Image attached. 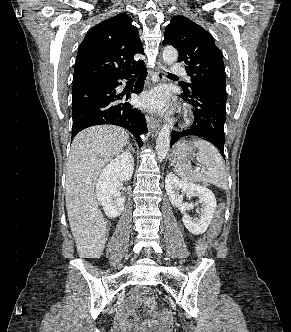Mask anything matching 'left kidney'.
<instances>
[{"label":"left kidney","instance_id":"obj_1","mask_svg":"<svg viewBox=\"0 0 291 332\" xmlns=\"http://www.w3.org/2000/svg\"><path fill=\"white\" fill-rule=\"evenodd\" d=\"M165 189L172 205L176 206L183 214L182 220L188 231L195 235L203 234L209 227L217 207V201L213 192L206 186L180 180L172 172L165 177ZM184 195L197 196L199 198L198 203L202 204L199 217L191 218L186 213V210L197 203L184 202Z\"/></svg>","mask_w":291,"mask_h":332}]
</instances>
